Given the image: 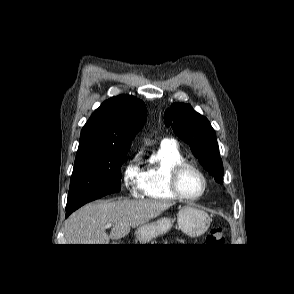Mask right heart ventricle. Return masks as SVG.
I'll use <instances>...</instances> for the list:
<instances>
[{
  "label": "right heart ventricle",
  "instance_id": "obj_1",
  "mask_svg": "<svg viewBox=\"0 0 294 294\" xmlns=\"http://www.w3.org/2000/svg\"><path fill=\"white\" fill-rule=\"evenodd\" d=\"M183 160L176 145L161 143L152 159L142 168V195L152 200H176L169 188V174L172 166Z\"/></svg>",
  "mask_w": 294,
  "mask_h": 294
}]
</instances>
